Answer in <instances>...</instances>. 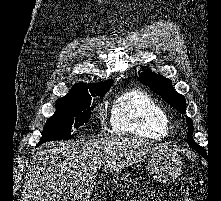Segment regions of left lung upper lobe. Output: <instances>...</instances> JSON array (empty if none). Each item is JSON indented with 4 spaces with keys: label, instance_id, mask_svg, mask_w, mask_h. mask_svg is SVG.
<instances>
[{
    "label": "left lung upper lobe",
    "instance_id": "5c2ea615",
    "mask_svg": "<svg viewBox=\"0 0 221 201\" xmlns=\"http://www.w3.org/2000/svg\"><path fill=\"white\" fill-rule=\"evenodd\" d=\"M140 79L150 87L152 91L166 100L172 107L176 108L182 114L186 113V101L185 97L177 93L172 87V83L169 79L161 75L154 74L152 71L147 70L140 74ZM188 123V136L187 141L190 147L197 151L203 157H207L206 151L203 147L199 146L192 138L193 122L190 118H186Z\"/></svg>",
    "mask_w": 221,
    "mask_h": 201
}]
</instances>
